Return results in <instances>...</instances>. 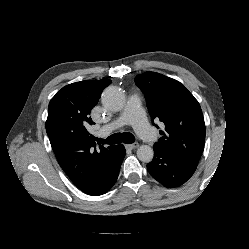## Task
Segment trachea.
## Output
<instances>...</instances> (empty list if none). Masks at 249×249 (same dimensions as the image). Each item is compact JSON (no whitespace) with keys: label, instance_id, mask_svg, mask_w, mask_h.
I'll use <instances>...</instances> for the list:
<instances>
[{"label":"trachea","instance_id":"trachea-1","mask_svg":"<svg viewBox=\"0 0 249 249\" xmlns=\"http://www.w3.org/2000/svg\"><path fill=\"white\" fill-rule=\"evenodd\" d=\"M95 141L98 142V144H118V143H126L131 144L135 141V137L130 132H124V133H115L110 135L107 139H100L93 137Z\"/></svg>","mask_w":249,"mask_h":249}]
</instances>
